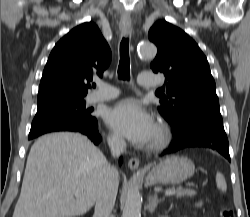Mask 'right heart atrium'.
I'll use <instances>...</instances> for the list:
<instances>
[{
  "label": "right heart atrium",
  "instance_id": "right-heart-atrium-1",
  "mask_svg": "<svg viewBox=\"0 0 250 217\" xmlns=\"http://www.w3.org/2000/svg\"><path fill=\"white\" fill-rule=\"evenodd\" d=\"M109 142L114 146H121L123 144L122 137L117 133H111L109 134Z\"/></svg>",
  "mask_w": 250,
  "mask_h": 217
}]
</instances>
